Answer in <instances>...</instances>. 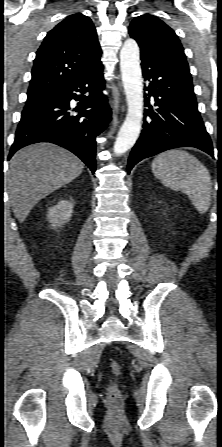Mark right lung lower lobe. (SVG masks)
<instances>
[{
    "instance_id": "right-lung-lower-lobe-1",
    "label": "right lung lower lobe",
    "mask_w": 222,
    "mask_h": 447,
    "mask_svg": "<svg viewBox=\"0 0 222 447\" xmlns=\"http://www.w3.org/2000/svg\"><path fill=\"white\" fill-rule=\"evenodd\" d=\"M104 86L100 62L47 100L24 107L8 159L29 144L51 142L73 152L94 173L95 138L107 127L111 114L102 93ZM75 92L88 93V96ZM72 99L79 101L74 109L70 106Z\"/></svg>"
}]
</instances>
